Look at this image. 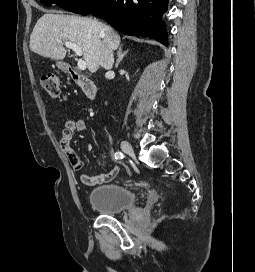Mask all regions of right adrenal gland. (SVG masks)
I'll return each mask as SVG.
<instances>
[{
	"mask_svg": "<svg viewBox=\"0 0 255 272\" xmlns=\"http://www.w3.org/2000/svg\"><path fill=\"white\" fill-rule=\"evenodd\" d=\"M128 51H125V52H122V44L119 46L118 48V58H117V61H116V64H115V67H118L120 62L122 61L123 57L127 54Z\"/></svg>",
	"mask_w": 255,
	"mask_h": 272,
	"instance_id": "2a0ac1e0",
	"label": "right adrenal gland"
}]
</instances>
